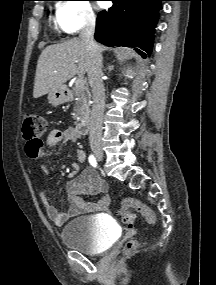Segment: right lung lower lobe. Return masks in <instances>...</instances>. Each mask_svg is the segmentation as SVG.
<instances>
[{
  "mask_svg": "<svg viewBox=\"0 0 216 285\" xmlns=\"http://www.w3.org/2000/svg\"><path fill=\"white\" fill-rule=\"evenodd\" d=\"M111 1L113 6L98 14L95 39L107 46L139 47L150 55L158 12L164 0ZM136 51L146 57L145 53Z\"/></svg>",
  "mask_w": 216,
  "mask_h": 285,
  "instance_id": "obj_1",
  "label": "right lung lower lobe"
}]
</instances>
